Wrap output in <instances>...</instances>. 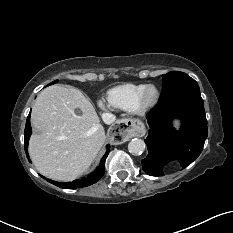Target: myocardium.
I'll return each mask as SVG.
<instances>
[{"instance_id":"1","label":"myocardium","mask_w":233,"mask_h":233,"mask_svg":"<svg viewBox=\"0 0 233 233\" xmlns=\"http://www.w3.org/2000/svg\"><path fill=\"white\" fill-rule=\"evenodd\" d=\"M149 89H153L155 92V96L151 101L146 100V92ZM159 97H160V92L158 88L153 84H146L137 97L134 111L138 114H143L147 112L157 104Z\"/></svg>"}]
</instances>
